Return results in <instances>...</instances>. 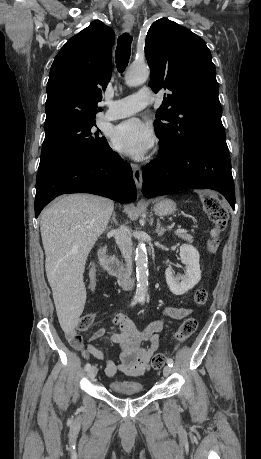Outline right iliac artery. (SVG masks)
<instances>
[{
  "label": "right iliac artery",
  "mask_w": 261,
  "mask_h": 459,
  "mask_svg": "<svg viewBox=\"0 0 261 459\" xmlns=\"http://www.w3.org/2000/svg\"><path fill=\"white\" fill-rule=\"evenodd\" d=\"M136 302H137V301L134 300V301L131 303V305H132V306L135 305ZM90 368H91V365H90L89 363H87V364L85 365V370L87 371V370H89Z\"/></svg>",
  "instance_id": "obj_1"
}]
</instances>
